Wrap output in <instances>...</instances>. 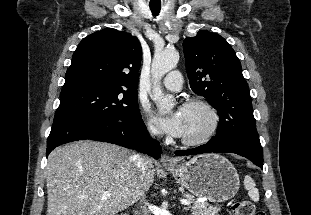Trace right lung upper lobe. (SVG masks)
Returning <instances> with one entry per match:
<instances>
[{
    "label": "right lung upper lobe",
    "instance_id": "1",
    "mask_svg": "<svg viewBox=\"0 0 311 215\" xmlns=\"http://www.w3.org/2000/svg\"><path fill=\"white\" fill-rule=\"evenodd\" d=\"M141 58V45L135 36L105 28L79 43L64 86L90 83L136 90Z\"/></svg>",
    "mask_w": 311,
    "mask_h": 215
}]
</instances>
